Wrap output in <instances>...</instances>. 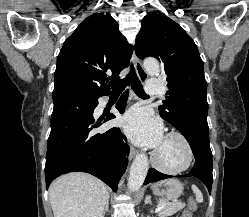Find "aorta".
I'll list each match as a JSON object with an SVG mask.
<instances>
[{
    "instance_id": "1",
    "label": "aorta",
    "mask_w": 249,
    "mask_h": 217,
    "mask_svg": "<svg viewBox=\"0 0 249 217\" xmlns=\"http://www.w3.org/2000/svg\"><path fill=\"white\" fill-rule=\"evenodd\" d=\"M144 67L146 71L155 75L160 71L159 63L155 59H147L144 61ZM148 157L146 154L141 153L134 159L128 180V189L131 192H137L142 186L148 171Z\"/></svg>"
}]
</instances>
